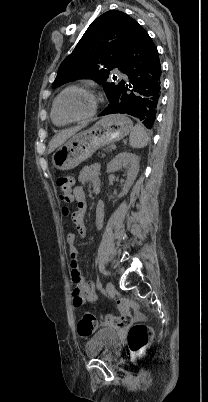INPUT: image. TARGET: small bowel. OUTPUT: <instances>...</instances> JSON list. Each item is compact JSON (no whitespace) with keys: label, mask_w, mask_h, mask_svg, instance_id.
<instances>
[{"label":"small bowel","mask_w":208,"mask_h":402,"mask_svg":"<svg viewBox=\"0 0 208 402\" xmlns=\"http://www.w3.org/2000/svg\"><path fill=\"white\" fill-rule=\"evenodd\" d=\"M79 185L75 187L73 191V197L77 202V208L74 211L75 218V231L82 237L86 235V227L83 223V217L86 213V203H85V191L83 185L86 183H91L93 191L97 192L100 188L99 180V166L97 164H91L84 166L78 174ZM104 205L99 203L96 207V226L102 228L104 222ZM75 232H70L67 236V242L70 245L69 254L72 259V278L75 282L74 293L78 296L76 302L80 303L82 298H86L89 301H96V287L93 282L87 281L81 270L78 267V251L73 245L75 242Z\"/></svg>","instance_id":"c3829d8e"}]
</instances>
